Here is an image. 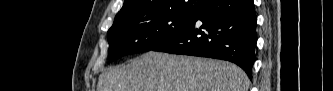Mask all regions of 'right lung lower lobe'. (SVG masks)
I'll use <instances>...</instances> for the list:
<instances>
[{
  "instance_id": "98d812e1",
  "label": "right lung lower lobe",
  "mask_w": 333,
  "mask_h": 91,
  "mask_svg": "<svg viewBox=\"0 0 333 91\" xmlns=\"http://www.w3.org/2000/svg\"><path fill=\"white\" fill-rule=\"evenodd\" d=\"M253 0H210L153 51L231 61L252 78L257 42Z\"/></svg>"
}]
</instances>
